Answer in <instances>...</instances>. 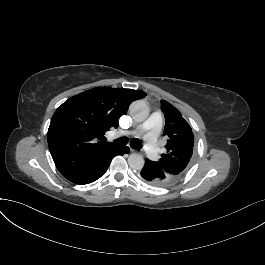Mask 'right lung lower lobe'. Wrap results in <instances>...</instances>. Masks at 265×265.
<instances>
[{"label": "right lung lower lobe", "mask_w": 265, "mask_h": 265, "mask_svg": "<svg viewBox=\"0 0 265 265\" xmlns=\"http://www.w3.org/2000/svg\"><path fill=\"white\" fill-rule=\"evenodd\" d=\"M129 152V149H128V147H121V149H119L117 152H116V154L114 155V156H116V155H124L125 153H128ZM113 156V157H114ZM112 157V158H113ZM112 158H111V160H112ZM111 160H110V162H111ZM110 162H108L106 165H105V167L103 168V170L99 173V175L95 178V179H93L91 182H94L95 180H97V179H99L101 176H103L104 174H105V172L107 171V169H108V167H109V165H110ZM91 182H89V183H91Z\"/></svg>", "instance_id": "1"}]
</instances>
